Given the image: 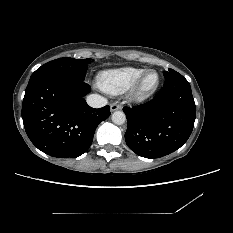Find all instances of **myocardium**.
<instances>
[{"label": "myocardium", "mask_w": 233, "mask_h": 233, "mask_svg": "<svg viewBox=\"0 0 233 233\" xmlns=\"http://www.w3.org/2000/svg\"><path fill=\"white\" fill-rule=\"evenodd\" d=\"M151 73L156 75V80L151 86L145 85L147 76ZM159 74L156 70L145 71L131 87V96L135 99H145L151 96L159 85Z\"/></svg>", "instance_id": "obj_1"}]
</instances>
